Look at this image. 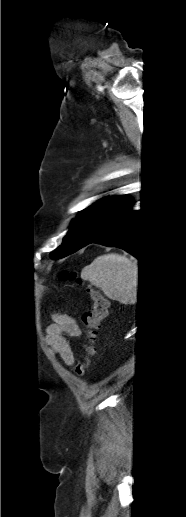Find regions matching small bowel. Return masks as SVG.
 I'll use <instances>...</instances> for the list:
<instances>
[{
	"label": "small bowel",
	"mask_w": 186,
	"mask_h": 517,
	"mask_svg": "<svg viewBox=\"0 0 186 517\" xmlns=\"http://www.w3.org/2000/svg\"><path fill=\"white\" fill-rule=\"evenodd\" d=\"M81 335V328L73 317L56 313L53 315V323L47 328L46 342L52 355H59L66 365L72 366L75 356L66 336Z\"/></svg>",
	"instance_id": "obj_1"
}]
</instances>
